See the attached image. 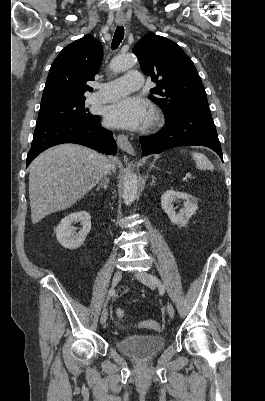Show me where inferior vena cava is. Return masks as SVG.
Listing matches in <instances>:
<instances>
[{
	"instance_id": "obj_1",
	"label": "inferior vena cava",
	"mask_w": 265,
	"mask_h": 401,
	"mask_svg": "<svg viewBox=\"0 0 265 401\" xmlns=\"http://www.w3.org/2000/svg\"><path fill=\"white\" fill-rule=\"evenodd\" d=\"M110 166H111L110 160H108V164H107V166H106V168H105V170H104V174H107V172H109Z\"/></svg>"
}]
</instances>
